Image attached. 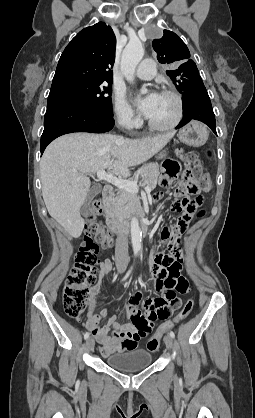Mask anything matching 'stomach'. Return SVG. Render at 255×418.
<instances>
[{"mask_svg":"<svg viewBox=\"0 0 255 418\" xmlns=\"http://www.w3.org/2000/svg\"><path fill=\"white\" fill-rule=\"evenodd\" d=\"M208 135L207 128L196 121L191 122L178 133L181 142L196 147L203 145L207 141ZM165 155L166 153H162L160 157H164Z\"/></svg>","mask_w":255,"mask_h":418,"instance_id":"obj_1","label":"stomach"}]
</instances>
